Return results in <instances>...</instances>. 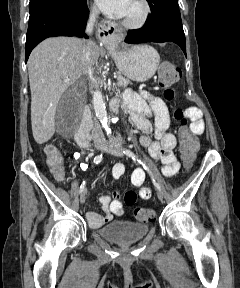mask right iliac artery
<instances>
[{"label": "right iliac artery", "instance_id": "right-iliac-artery-1", "mask_svg": "<svg viewBox=\"0 0 240 288\" xmlns=\"http://www.w3.org/2000/svg\"><path fill=\"white\" fill-rule=\"evenodd\" d=\"M102 159H103L102 154H101V155H97V156L94 158V161H93V162H94L95 164H98L99 162L102 161ZM81 168H82L83 170H85V169L87 168V165H86V164H82V165H81ZM85 184H86V181H83V183H82L81 186H80V190H79L80 194L85 190Z\"/></svg>", "mask_w": 240, "mask_h": 288}]
</instances>
